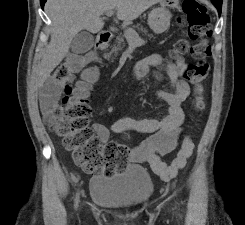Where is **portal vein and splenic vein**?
<instances>
[{
  "label": "portal vein and splenic vein",
  "mask_w": 245,
  "mask_h": 225,
  "mask_svg": "<svg viewBox=\"0 0 245 225\" xmlns=\"http://www.w3.org/2000/svg\"><path fill=\"white\" fill-rule=\"evenodd\" d=\"M113 13H114L113 11H108L106 12V16L110 17L113 15ZM124 35L126 39L133 45L139 46V45L144 44V40L141 39L139 35L137 34V32L133 30L132 28L125 29Z\"/></svg>",
  "instance_id": "18ae733b"
}]
</instances>
